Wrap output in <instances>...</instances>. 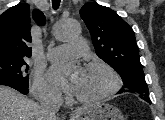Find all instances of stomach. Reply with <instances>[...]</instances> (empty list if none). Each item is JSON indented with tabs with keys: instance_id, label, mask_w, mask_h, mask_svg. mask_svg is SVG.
I'll return each instance as SVG.
<instances>
[{
	"instance_id": "0dacf381",
	"label": "stomach",
	"mask_w": 165,
	"mask_h": 120,
	"mask_svg": "<svg viewBox=\"0 0 165 120\" xmlns=\"http://www.w3.org/2000/svg\"><path fill=\"white\" fill-rule=\"evenodd\" d=\"M72 120H124V117L115 106L100 103L82 109Z\"/></svg>"
}]
</instances>
